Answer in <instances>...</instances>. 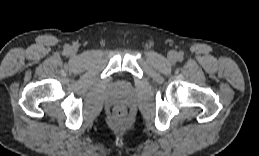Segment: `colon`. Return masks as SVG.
Returning a JSON list of instances; mask_svg holds the SVG:
<instances>
[{"label": "colon", "mask_w": 259, "mask_h": 156, "mask_svg": "<svg viewBox=\"0 0 259 156\" xmlns=\"http://www.w3.org/2000/svg\"><path fill=\"white\" fill-rule=\"evenodd\" d=\"M114 115H115V119H116V121H117L118 123H123V122H124L125 117H126V113H125L124 109H122V108H117V109L115 110Z\"/></svg>", "instance_id": "1"}]
</instances>
